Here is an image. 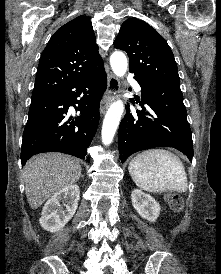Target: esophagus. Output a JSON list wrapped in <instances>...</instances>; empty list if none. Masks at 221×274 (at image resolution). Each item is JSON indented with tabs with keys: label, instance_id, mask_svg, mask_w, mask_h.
<instances>
[{
	"label": "esophagus",
	"instance_id": "34e87169",
	"mask_svg": "<svg viewBox=\"0 0 221 274\" xmlns=\"http://www.w3.org/2000/svg\"><path fill=\"white\" fill-rule=\"evenodd\" d=\"M120 83L118 78L113 75H108L107 89L103 95L100 103V113L103 114L105 110L110 106L113 100V96L119 91Z\"/></svg>",
	"mask_w": 221,
	"mask_h": 274
}]
</instances>
